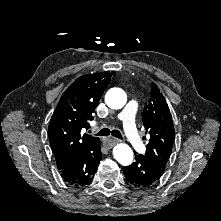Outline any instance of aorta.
<instances>
[{
    "label": "aorta",
    "mask_w": 221,
    "mask_h": 221,
    "mask_svg": "<svg viewBox=\"0 0 221 221\" xmlns=\"http://www.w3.org/2000/svg\"><path fill=\"white\" fill-rule=\"evenodd\" d=\"M105 102L111 109H121L127 102V95L120 88H112L106 93ZM113 155L114 158L123 166H127L132 163L133 151L127 144H117L113 149Z\"/></svg>",
    "instance_id": "aorta-1"
}]
</instances>
